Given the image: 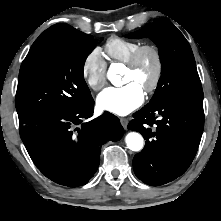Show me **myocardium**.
Instances as JSON below:
<instances>
[{"label": "myocardium", "instance_id": "myocardium-1", "mask_svg": "<svg viewBox=\"0 0 221 221\" xmlns=\"http://www.w3.org/2000/svg\"><path fill=\"white\" fill-rule=\"evenodd\" d=\"M147 54H150L153 58L154 72L150 82L145 85L144 90L147 93H152L158 88L163 74V59L159 48L154 44L141 45L131 55L130 59L126 62V66L128 69L136 71Z\"/></svg>", "mask_w": 221, "mask_h": 221}]
</instances>
